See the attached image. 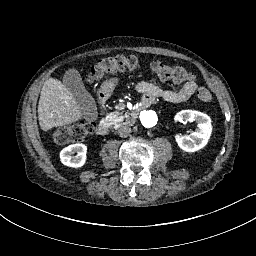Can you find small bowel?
Segmentation results:
<instances>
[{
	"label": "small bowel",
	"mask_w": 256,
	"mask_h": 256,
	"mask_svg": "<svg viewBox=\"0 0 256 256\" xmlns=\"http://www.w3.org/2000/svg\"><path fill=\"white\" fill-rule=\"evenodd\" d=\"M134 89L143 95L142 104L147 106L155 100H163L170 103H181L193 96L197 90L195 81L190 80L182 84L178 90L161 88L147 81H139L134 84Z\"/></svg>",
	"instance_id": "c3829d8e"
}]
</instances>
